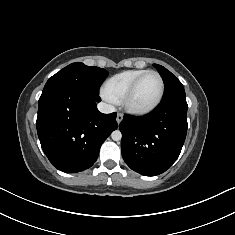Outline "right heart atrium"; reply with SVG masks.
Here are the masks:
<instances>
[{"mask_svg":"<svg viewBox=\"0 0 235 235\" xmlns=\"http://www.w3.org/2000/svg\"><path fill=\"white\" fill-rule=\"evenodd\" d=\"M101 96L108 103H114L115 102V100L110 95H108L103 89L101 90Z\"/></svg>","mask_w":235,"mask_h":235,"instance_id":"right-heart-atrium-1","label":"right heart atrium"}]
</instances>
